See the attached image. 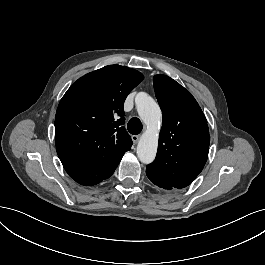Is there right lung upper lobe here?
<instances>
[{
    "label": "right lung upper lobe",
    "mask_w": 265,
    "mask_h": 265,
    "mask_svg": "<svg viewBox=\"0 0 265 265\" xmlns=\"http://www.w3.org/2000/svg\"><path fill=\"white\" fill-rule=\"evenodd\" d=\"M143 75L111 65L88 73L66 91L55 116L60 160L109 161L131 149L124 124V101Z\"/></svg>",
    "instance_id": "right-lung-upper-lobe-1"
}]
</instances>
